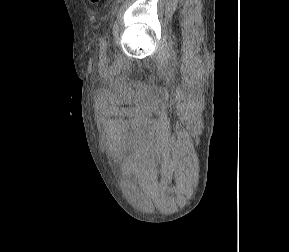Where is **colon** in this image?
<instances>
[{"instance_id":"obj_1","label":"colon","mask_w":289,"mask_h":252,"mask_svg":"<svg viewBox=\"0 0 289 252\" xmlns=\"http://www.w3.org/2000/svg\"><path fill=\"white\" fill-rule=\"evenodd\" d=\"M90 2L94 5H98L100 0H90Z\"/></svg>"}]
</instances>
